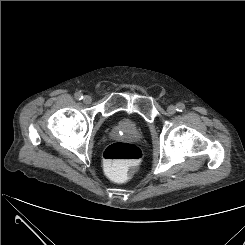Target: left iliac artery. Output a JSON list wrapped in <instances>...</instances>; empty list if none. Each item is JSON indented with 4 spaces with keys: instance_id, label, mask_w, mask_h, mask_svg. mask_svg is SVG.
<instances>
[{
    "instance_id": "obj_1",
    "label": "left iliac artery",
    "mask_w": 245,
    "mask_h": 245,
    "mask_svg": "<svg viewBox=\"0 0 245 245\" xmlns=\"http://www.w3.org/2000/svg\"><path fill=\"white\" fill-rule=\"evenodd\" d=\"M176 108L177 111L182 112L185 109V105L183 103H178Z\"/></svg>"
}]
</instances>
